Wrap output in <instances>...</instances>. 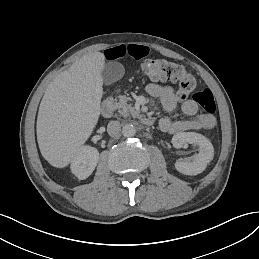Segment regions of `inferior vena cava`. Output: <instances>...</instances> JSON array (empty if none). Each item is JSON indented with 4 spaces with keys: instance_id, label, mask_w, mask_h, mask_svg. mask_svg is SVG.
Instances as JSON below:
<instances>
[{
    "instance_id": "obj_1",
    "label": "inferior vena cava",
    "mask_w": 259,
    "mask_h": 259,
    "mask_svg": "<svg viewBox=\"0 0 259 259\" xmlns=\"http://www.w3.org/2000/svg\"><path fill=\"white\" fill-rule=\"evenodd\" d=\"M107 130L110 136L119 138L121 135V124L119 121L113 120L108 123Z\"/></svg>"
}]
</instances>
